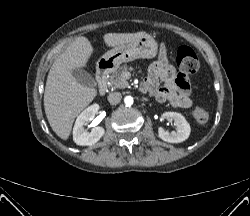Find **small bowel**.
Segmentation results:
<instances>
[{"instance_id":"c3829d8e","label":"small bowel","mask_w":250,"mask_h":216,"mask_svg":"<svg viewBox=\"0 0 250 216\" xmlns=\"http://www.w3.org/2000/svg\"><path fill=\"white\" fill-rule=\"evenodd\" d=\"M143 89L174 107L189 108L193 104L189 79L184 74H176L165 57L150 66Z\"/></svg>"}]
</instances>
